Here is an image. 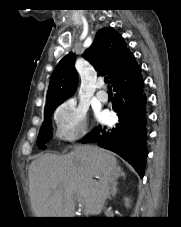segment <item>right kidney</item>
I'll use <instances>...</instances> for the list:
<instances>
[{
    "instance_id": "right-kidney-1",
    "label": "right kidney",
    "mask_w": 181,
    "mask_h": 227,
    "mask_svg": "<svg viewBox=\"0 0 181 227\" xmlns=\"http://www.w3.org/2000/svg\"><path fill=\"white\" fill-rule=\"evenodd\" d=\"M124 201H125V206L127 207V208H129L130 206H131V204H130V198H125L124 199Z\"/></svg>"
}]
</instances>
